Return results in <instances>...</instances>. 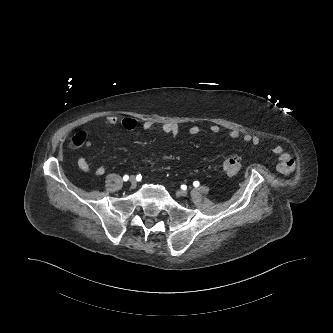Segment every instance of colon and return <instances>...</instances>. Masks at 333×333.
<instances>
[{"mask_svg":"<svg viewBox=\"0 0 333 333\" xmlns=\"http://www.w3.org/2000/svg\"><path fill=\"white\" fill-rule=\"evenodd\" d=\"M88 144L87 134L83 131L76 133L71 139V147L79 149ZM242 167L241 159L237 156H227L222 161V168L226 174L233 176L236 175Z\"/></svg>","mask_w":333,"mask_h":333,"instance_id":"1","label":"colon"}]
</instances>
